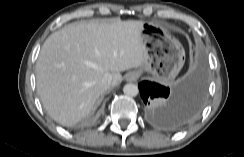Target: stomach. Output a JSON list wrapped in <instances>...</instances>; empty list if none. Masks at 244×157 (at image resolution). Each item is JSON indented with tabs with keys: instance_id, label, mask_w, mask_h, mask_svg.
Wrapping results in <instances>:
<instances>
[{
	"instance_id": "1",
	"label": "stomach",
	"mask_w": 244,
	"mask_h": 157,
	"mask_svg": "<svg viewBox=\"0 0 244 157\" xmlns=\"http://www.w3.org/2000/svg\"><path fill=\"white\" fill-rule=\"evenodd\" d=\"M141 36L146 53L139 72L150 73L152 79L160 83L173 80L185 62L182 44L167 29L154 22L143 23Z\"/></svg>"
}]
</instances>
